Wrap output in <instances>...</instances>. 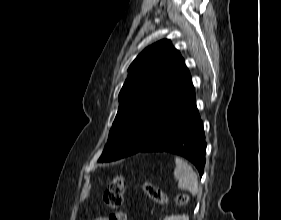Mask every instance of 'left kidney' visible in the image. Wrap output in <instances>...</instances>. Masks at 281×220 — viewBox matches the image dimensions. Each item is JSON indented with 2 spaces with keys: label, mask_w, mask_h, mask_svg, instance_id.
Instances as JSON below:
<instances>
[{
  "label": "left kidney",
  "mask_w": 281,
  "mask_h": 220,
  "mask_svg": "<svg viewBox=\"0 0 281 220\" xmlns=\"http://www.w3.org/2000/svg\"><path fill=\"white\" fill-rule=\"evenodd\" d=\"M163 220H189V217L187 215H171L165 217Z\"/></svg>",
  "instance_id": "obj_1"
}]
</instances>
